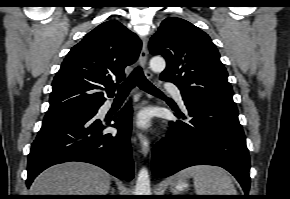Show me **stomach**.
Returning a JSON list of instances; mask_svg holds the SVG:
<instances>
[{
  "label": "stomach",
  "mask_w": 290,
  "mask_h": 199,
  "mask_svg": "<svg viewBox=\"0 0 290 199\" xmlns=\"http://www.w3.org/2000/svg\"><path fill=\"white\" fill-rule=\"evenodd\" d=\"M175 191H183L188 187V182L186 176L179 174L176 176L174 182L172 183Z\"/></svg>",
  "instance_id": "stomach-1"
}]
</instances>
